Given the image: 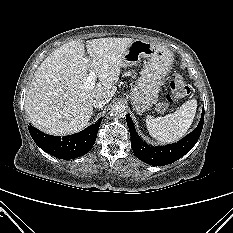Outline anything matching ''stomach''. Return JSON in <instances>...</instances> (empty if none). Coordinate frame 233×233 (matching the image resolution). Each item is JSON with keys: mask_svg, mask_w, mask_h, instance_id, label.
Here are the masks:
<instances>
[{"mask_svg": "<svg viewBox=\"0 0 233 233\" xmlns=\"http://www.w3.org/2000/svg\"><path fill=\"white\" fill-rule=\"evenodd\" d=\"M141 58L147 62L130 92L133 107L138 114L157 103L162 80L172 64V53L159 44L136 39L123 55V66L135 65Z\"/></svg>", "mask_w": 233, "mask_h": 233, "instance_id": "0dacf381", "label": "stomach"}]
</instances>
